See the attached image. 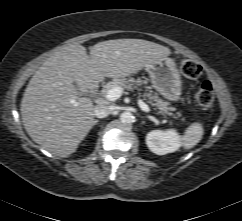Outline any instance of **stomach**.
Wrapping results in <instances>:
<instances>
[{"label": "stomach", "mask_w": 242, "mask_h": 221, "mask_svg": "<svg viewBox=\"0 0 242 221\" xmlns=\"http://www.w3.org/2000/svg\"><path fill=\"white\" fill-rule=\"evenodd\" d=\"M153 88L164 98L176 102L182 93V81L175 61L169 57L160 59L146 68Z\"/></svg>", "instance_id": "stomach-1"}]
</instances>
